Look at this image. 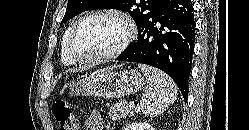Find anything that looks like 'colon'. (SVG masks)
<instances>
[{
  "mask_svg": "<svg viewBox=\"0 0 249 130\" xmlns=\"http://www.w3.org/2000/svg\"><path fill=\"white\" fill-rule=\"evenodd\" d=\"M53 116L59 126V130H77V121L69 103L58 100L52 105Z\"/></svg>",
  "mask_w": 249,
  "mask_h": 130,
  "instance_id": "1",
  "label": "colon"
}]
</instances>
